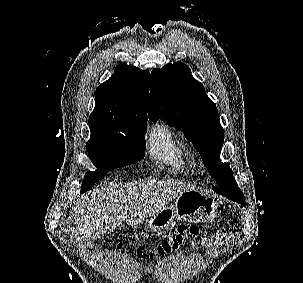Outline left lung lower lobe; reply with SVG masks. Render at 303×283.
Instances as JSON below:
<instances>
[{
    "instance_id": "obj_1",
    "label": "left lung lower lobe",
    "mask_w": 303,
    "mask_h": 283,
    "mask_svg": "<svg viewBox=\"0 0 303 283\" xmlns=\"http://www.w3.org/2000/svg\"><path fill=\"white\" fill-rule=\"evenodd\" d=\"M221 195L227 197L230 200L236 201L240 204H242L243 206H245V200H244V196L242 194L239 193H235V192H223Z\"/></svg>"
}]
</instances>
